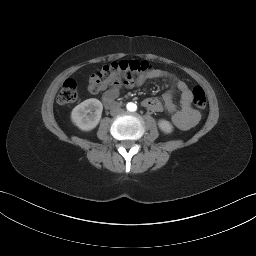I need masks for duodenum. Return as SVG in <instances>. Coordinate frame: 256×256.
I'll use <instances>...</instances> for the list:
<instances>
[{
  "mask_svg": "<svg viewBox=\"0 0 256 256\" xmlns=\"http://www.w3.org/2000/svg\"><path fill=\"white\" fill-rule=\"evenodd\" d=\"M103 102L107 109H113L119 106V103L112 98L104 97Z\"/></svg>",
  "mask_w": 256,
  "mask_h": 256,
  "instance_id": "1",
  "label": "duodenum"
}]
</instances>
